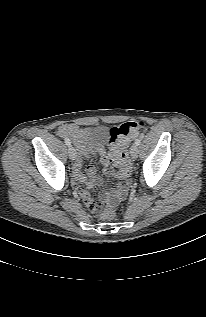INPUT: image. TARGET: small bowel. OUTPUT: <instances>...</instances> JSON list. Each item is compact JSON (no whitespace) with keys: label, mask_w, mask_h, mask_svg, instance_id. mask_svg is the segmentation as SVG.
<instances>
[{"label":"small bowel","mask_w":206,"mask_h":317,"mask_svg":"<svg viewBox=\"0 0 206 317\" xmlns=\"http://www.w3.org/2000/svg\"><path fill=\"white\" fill-rule=\"evenodd\" d=\"M57 133L61 137L65 138H72L77 146V160L73 166V176L76 184V189L78 194L80 195L83 202L86 204L87 207H89L92 211L96 205V202L91 197L90 193L82 189L80 187V184H85L88 187H91L93 185H99L102 183L101 179L96 175L95 168L92 165H89L87 167V174L88 177H86L82 171V159L85 157H88L90 155L89 149L86 147V144L83 139V131L75 124H64L61 125L57 129ZM101 155V162L104 167V171L106 174H114V170L111 167V163L108 157L102 154V152H99ZM127 192V183H122L117 192L115 193V196L117 199H122Z\"/></svg>","instance_id":"small-bowel-1"}]
</instances>
